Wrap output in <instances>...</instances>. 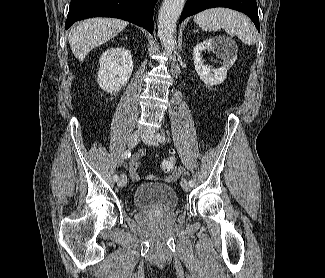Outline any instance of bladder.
Returning a JSON list of instances; mask_svg holds the SVG:
<instances>
[{
  "instance_id": "bladder-1",
  "label": "bladder",
  "mask_w": 325,
  "mask_h": 278,
  "mask_svg": "<svg viewBox=\"0 0 325 278\" xmlns=\"http://www.w3.org/2000/svg\"><path fill=\"white\" fill-rule=\"evenodd\" d=\"M133 202L142 209L169 210L178 205V197L171 185L151 182L136 188Z\"/></svg>"
}]
</instances>
